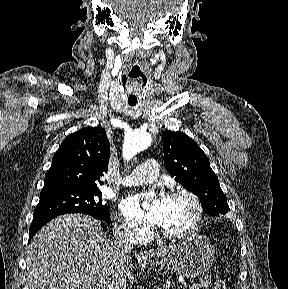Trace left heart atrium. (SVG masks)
I'll return each mask as SVG.
<instances>
[{"label": "left heart atrium", "instance_id": "left-heart-atrium-1", "mask_svg": "<svg viewBox=\"0 0 288 289\" xmlns=\"http://www.w3.org/2000/svg\"><path fill=\"white\" fill-rule=\"evenodd\" d=\"M144 203L147 207H144ZM164 199L154 191L135 195L126 199L122 204L125 215L140 218L154 225H160L163 218Z\"/></svg>", "mask_w": 288, "mask_h": 289}]
</instances>
